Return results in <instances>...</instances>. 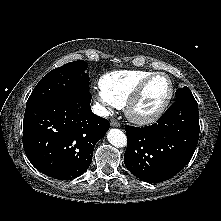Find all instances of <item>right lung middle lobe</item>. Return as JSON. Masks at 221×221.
I'll return each instance as SVG.
<instances>
[{
    "label": "right lung middle lobe",
    "instance_id": "right-lung-middle-lobe-1",
    "mask_svg": "<svg viewBox=\"0 0 221 221\" xmlns=\"http://www.w3.org/2000/svg\"><path fill=\"white\" fill-rule=\"evenodd\" d=\"M83 60L73 61L46 74L32 91L26 107L50 101L73 102L86 95L89 75Z\"/></svg>",
    "mask_w": 221,
    "mask_h": 221
}]
</instances>
